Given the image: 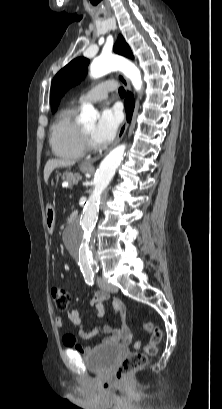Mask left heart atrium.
Masks as SVG:
<instances>
[{
  "label": "left heart atrium",
  "instance_id": "left-heart-atrium-1",
  "mask_svg": "<svg viewBox=\"0 0 222 409\" xmlns=\"http://www.w3.org/2000/svg\"><path fill=\"white\" fill-rule=\"evenodd\" d=\"M121 121L120 112L116 108H105L92 133V140L98 146L109 143L115 136Z\"/></svg>",
  "mask_w": 222,
  "mask_h": 409
}]
</instances>
